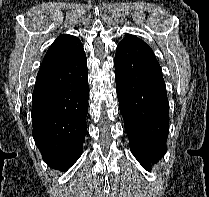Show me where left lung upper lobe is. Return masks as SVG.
<instances>
[{"instance_id":"obj_1","label":"left lung upper lobe","mask_w":209,"mask_h":197,"mask_svg":"<svg viewBox=\"0 0 209 197\" xmlns=\"http://www.w3.org/2000/svg\"><path fill=\"white\" fill-rule=\"evenodd\" d=\"M126 40H137V41H140V42L145 43L144 41H142V40L139 39L138 37L132 36V35L125 37L122 41H126ZM145 44H146V43H145Z\"/></svg>"}]
</instances>
